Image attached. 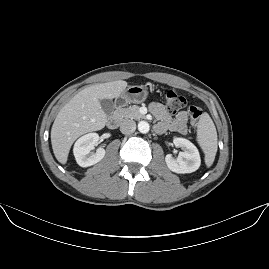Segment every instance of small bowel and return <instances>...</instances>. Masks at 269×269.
I'll use <instances>...</instances> for the list:
<instances>
[{"mask_svg":"<svg viewBox=\"0 0 269 269\" xmlns=\"http://www.w3.org/2000/svg\"><path fill=\"white\" fill-rule=\"evenodd\" d=\"M151 111L153 115L159 120L158 124L155 126V131L157 133H163L168 128L179 134L187 133L188 115L186 111L178 112L174 119L170 118L165 107L160 103H153L151 105Z\"/></svg>","mask_w":269,"mask_h":269,"instance_id":"1","label":"small bowel"}]
</instances>
